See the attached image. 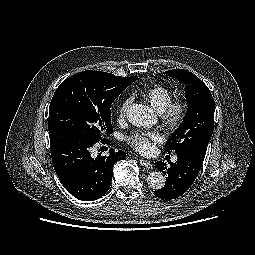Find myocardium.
<instances>
[{
  "label": "myocardium",
  "instance_id": "obj_1",
  "mask_svg": "<svg viewBox=\"0 0 255 255\" xmlns=\"http://www.w3.org/2000/svg\"><path fill=\"white\" fill-rule=\"evenodd\" d=\"M188 103L183 99L172 100L160 112L163 123L172 130L178 129L185 121L188 114Z\"/></svg>",
  "mask_w": 255,
  "mask_h": 255
}]
</instances>
